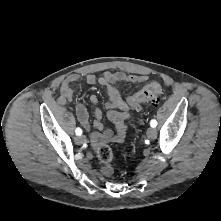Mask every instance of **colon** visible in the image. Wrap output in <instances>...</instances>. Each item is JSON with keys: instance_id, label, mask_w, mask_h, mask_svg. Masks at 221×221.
<instances>
[{"instance_id": "1", "label": "colon", "mask_w": 221, "mask_h": 221, "mask_svg": "<svg viewBox=\"0 0 221 221\" xmlns=\"http://www.w3.org/2000/svg\"><path fill=\"white\" fill-rule=\"evenodd\" d=\"M162 92V85L158 81H154L135 94L129 97L128 105L130 108L139 110L144 103L155 102L158 99V96ZM97 157L100 160L101 172L104 176H111L114 172L113 167V152L111 148L107 145H101L97 149Z\"/></svg>"}]
</instances>
